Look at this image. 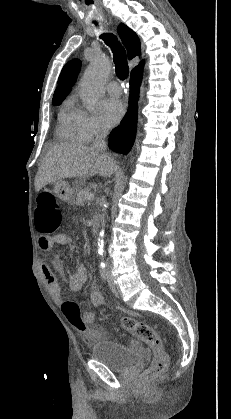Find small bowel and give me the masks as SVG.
<instances>
[{
  "mask_svg": "<svg viewBox=\"0 0 231 419\" xmlns=\"http://www.w3.org/2000/svg\"><path fill=\"white\" fill-rule=\"evenodd\" d=\"M40 249L47 253L50 252L56 245H69L73 247L72 239L65 233H58L52 237L40 236L38 239ZM42 273L48 285V289L53 301L61 305L64 300L61 293L58 276H64V270L62 265L57 260H50L49 263L42 265ZM88 278V271L85 265L79 264L76 270L68 277V286L74 293L79 292ZM90 301L93 306L100 307L104 304V296L102 292L93 285L90 292ZM84 319L87 324H93L96 320L95 314L91 311H85L83 313ZM103 335L102 332L96 331V338H100Z\"/></svg>",
  "mask_w": 231,
  "mask_h": 419,
  "instance_id": "small-bowel-1",
  "label": "small bowel"
}]
</instances>
